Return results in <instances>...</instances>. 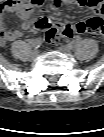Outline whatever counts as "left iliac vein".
Wrapping results in <instances>:
<instances>
[{
  "label": "left iliac vein",
  "instance_id": "left-iliac-vein-1",
  "mask_svg": "<svg viewBox=\"0 0 104 137\" xmlns=\"http://www.w3.org/2000/svg\"><path fill=\"white\" fill-rule=\"evenodd\" d=\"M58 49L62 52L69 53L72 50V47L70 45H61Z\"/></svg>",
  "mask_w": 104,
  "mask_h": 137
}]
</instances>
